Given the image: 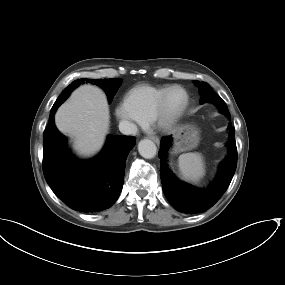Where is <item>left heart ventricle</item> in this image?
<instances>
[{"instance_id": "obj_1", "label": "left heart ventricle", "mask_w": 285, "mask_h": 285, "mask_svg": "<svg viewBox=\"0 0 285 285\" xmlns=\"http://www.w3.org/2000/svg\"><path fill=\"white\" fill-rule=\"evenodd\" d=\"M184 93L180 90H174L169 98V108L171 111L177 110L184 102Z\"/></svg>"}]
</instances>
